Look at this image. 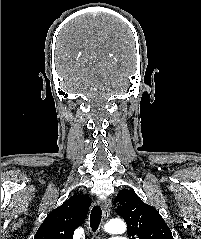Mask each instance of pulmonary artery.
Segmentation results:
<instances>
[{"label": "pulmonary artery", "mask_w": 201, "mask_h": 239, "mask_svg": "<svg viewBox=\"0 0 201 239\" xmlns=\"http://www.w3.org/2000/svg\"><path fill=\"white\" fill-rule=\"evenodd\" d=\"M110 239H127V237H125V236H114V237H111Z\"/></svg>", "instance_id": "obj_1"}]
</instances>
